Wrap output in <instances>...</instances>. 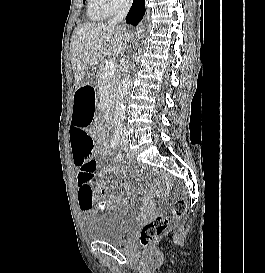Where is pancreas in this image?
<instances>
[{"label":"pancreas","mask_w":265,"mask_h":273,"mask_svg":"<svg viewBox=\"0 0 265 273\" xmlns=\"http://www.w3.org/2000/svg\"><path fill=\"white\" fill-rule=\"evenodd\" d=\"M110 62H113L112 58L106 59L103 62H101L99 69L96 73V83H97V87H100L101 84L104 82L105 78H104V72L105 69L107 68V66L109 65ZM120 79V75L119 74H115L114 76H112L107 82L106 84L108 85V90L110 92H112V90L114 89V87L118 84Z\"/></svg>","instance_id":"cf45deb5"}]
</instances>
